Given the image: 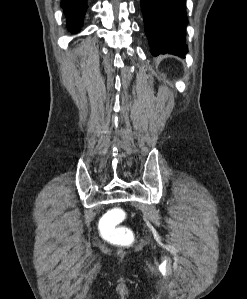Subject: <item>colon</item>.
I'll list each match as a JSON object with an SVG mask.
<instances>
[{"label":"colon","mask_w":247,"mask_h":299,"mask_svg":"<svg viewBox=\"0 0 247 299\" xmlns=\"http://www.w3.org/2000/svg\"><path fill=\"white\" fill-rule=\"evenodd\" d=\"M124 219V212L115 208L110 210L101 221V232L110 242L118 244H129L133 240L132 231L121 225Z\"/></svg>","instance_id":"colon-1"}]
</instances>
